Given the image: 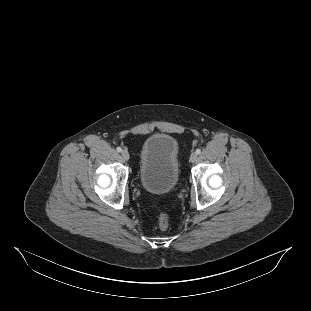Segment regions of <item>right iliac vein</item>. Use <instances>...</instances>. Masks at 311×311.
<instances>
[{
  "instance_id": "obj_1",
  "label": "right iliac vein",
  "mask_w": 311,
  "mask_h": 311,
  "mask_svg": "<svg viewBox=\"0 0 311 311\" xmlns=\"http://www.w3.org/2000/svg\"><path fill=\"white\" fill-rule=\"evenodd\" d=\"M121 155H122L123 159L126 161L129 160V158H130L129 152L127 150H123L121 152Z\"/></svg>"
}]
</instances>
